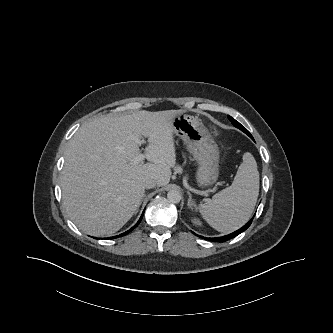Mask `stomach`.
<instances>
[{"mask_svg": "<svg viewBox=\"0 0 333 333\" xmlns=\"http://www.w3.org/2000/svg\"><path fill=\"white\" fill-rule=\"evenodd\" d=\"M174 134L186 144L198 163L197 182L202 187L213 185L219 176V148L200 119L178 114L172 121Z\"/></svg>", "mask_w": 333, "mask_h": 333, "instance_id": "1", "label": "stomach"}]
</instances>
